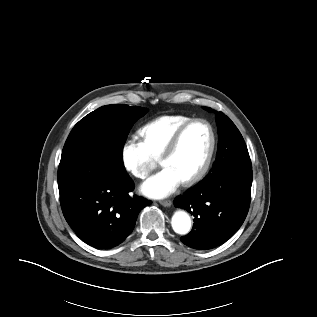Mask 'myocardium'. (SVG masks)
Masks as SVG:
<instances>
[{
    "label": "myocardium",
    "mask_w": 317,
    "mask_h": 317,
    "mask_svg": "<svg viewBox=\"0 0 317 317\" xmlns=\"http://www.w3.org/2000/svg\"><path fill=\"white\" fill-rule=\"evenodd\" d=\"M198 123H202L208 128L210 135V143L206 156L199 169L192 176L182 181V184L185 186H191L199 182L205 176L211 165L216 146V136L212 125L207 120L202 118L191 119L177 130V132L174 134V136L172 137V139L170 140L169 144L167 145L166 149L160 157V163L163 165V162L176 152L180 145L182 137L184 136L186 131L190 127Z\"/></svg>",
    "instance_id": "myocardium-1"
}]
</instances>
